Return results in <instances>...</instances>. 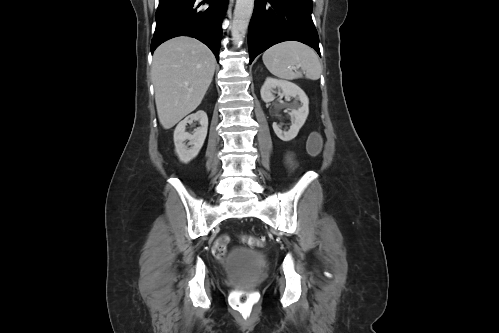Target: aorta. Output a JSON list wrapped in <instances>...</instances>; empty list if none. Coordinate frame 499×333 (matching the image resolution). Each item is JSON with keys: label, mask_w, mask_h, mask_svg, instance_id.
<instances>
[{"label": "aorta", "mask_w": 499, "mask_h": 333, "mask_svg": "<svg viewBox=\"0 0 499 333\" xmlns=\"http://www.w3.org/2000/svg\"><path fill=\"white\" fill-rule=\"evenodd\" d=\"M253 8L254 0H236L231 27L232 40L236 45L240 44L245 37Z\"/></svg>", "instance_id": "aorta-1"}]
</instances>
